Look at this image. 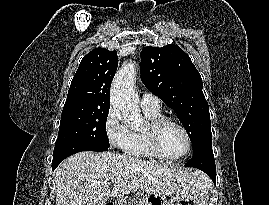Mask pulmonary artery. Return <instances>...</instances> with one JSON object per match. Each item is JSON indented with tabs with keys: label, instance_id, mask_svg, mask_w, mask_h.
<instances>
[{
	"label": "pulmonary artery",
	"instance_id": "1",
	"mask_svg": "<svg viewBox=\"0 0 269 205\" xmlns=\"http://www.w3.org/2000/svg\"><path fill=\"white\" fill-rule=\"evenodd\" d=\"M161 101L160 99L151 94V93H144L141 97V107L145 110L151 111H158L160 110Z\"/></svg>",
	"mask_w": 269,
	"mask_h": 205
}]
</instances>
